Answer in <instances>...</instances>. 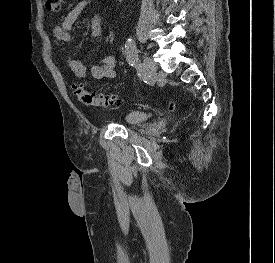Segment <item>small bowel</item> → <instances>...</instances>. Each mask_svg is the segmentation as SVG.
Returning a JSON list of instances; mask_svg holds the SVG:
<instances>
[{
	"label": "small bowel",
	"mask_w": 275,
	"mask_h": 263,
	"mask_svg": "<svg viewBox=\"0 0 275 263\" xmlns=\"http://www.w3.org/2000/svg\"><path fill=\"white\" fill-rule=\"evenodd\" d=\"M91 0H82L73 7L64 17L61 24L55 27L54 35L56 39L64 43L74 40L73 25L81 14L90 6ZM102 32V17L95 16L90 22V36L98 37ZM67 64L72 73L77 78H85L87 67L83 62L69 55L66 58ZM90 74L95 80L113 79L116 76V59L114 56H105L99 64L90 67Z\"/></svg>",
	"instance_id": "1"
}]
</instances>
